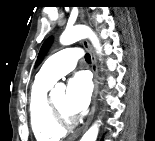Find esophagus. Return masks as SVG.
Instances as JSON below:
<instances>
[{
	"mask_svg": "<svg viewBox=\"0 0 155 141\" xmlns=\"http://www.w3.org/2000/svg\"><path fill=\"white\" fill-rule=\"evenodd\" d=\"M83 45L84 48L90 53L91 56V70L93 72V81H94V93H93V97H92V107H91V111L89 113L88 119L84 125L83 128V132L88 128L89 124L91 123V120L93 118V115L95 113V109H96V99H97V95H98V91H99V85H98V68H97V61H96V57L95 54L90 46V44L88 43V41L84 40L83 41Z\"/></svg>",
	"mask_w": 155,
	"mask_h": 141,
	"instance_id": "1",
	"label": "esophagus"
}]
</instances>
